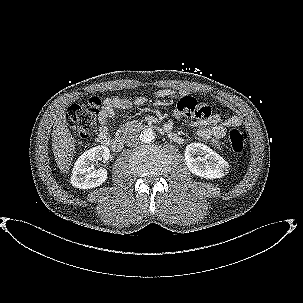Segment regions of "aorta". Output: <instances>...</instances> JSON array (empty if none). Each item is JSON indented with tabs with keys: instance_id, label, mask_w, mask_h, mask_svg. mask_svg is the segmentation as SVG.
Segmentation results:
<instances>
[{
	"instance_id": "762f6f07",
	"label": "aorta",
	"mask_w": 303,
	"mask_h": 303,
	"mask_svg": "<svg viewBox=\"0 0 303 303\" xmlns=\"http://www.w3.org/2000/svg\"><path fill=\"white\" fill-rule=\"evenodd\" d=\"M139 137L143 143H150L155 139V133L152 129L148 128V129H144L140 133Z\"/></svg>"
}]
</instances>
